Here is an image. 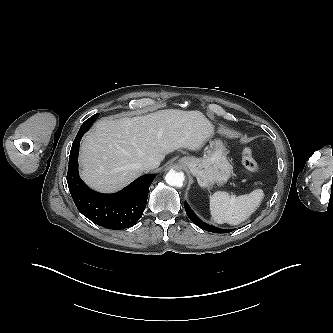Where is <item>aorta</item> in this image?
Segmentation results:
<instances>
[{"label": "aorta", "instance_id": "aorta-1", "mask_svg": "<svg viewBox=\"0 0 333 333\" xmlns=\"http://www.w3.org/2000/svg\"><path fill=\"white\" fill-rule=\"evenodd\" d=\"M184 179L185 176L183 173L174 170H170L165 176L166 183L176 187H182Z\"/></svg>", "mask_w": 333, "mask_h": 333}]
</instances>
